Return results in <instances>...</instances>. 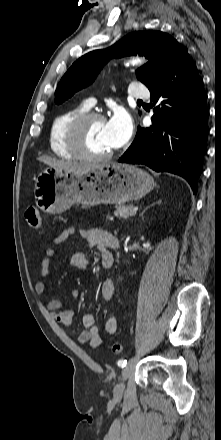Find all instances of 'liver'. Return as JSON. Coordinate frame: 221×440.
Returning <instances> with one entry per match:
<instances>
[{
  "instance_id": "obj_1",
  "label": "liver",
  "mask_w": 221,
  "mask_h": 440,
  "mask_svg": "<svg viewBox=\"0 0 221 440\" xmlns=\"http://www.w3.org/2000/svg\"><path fill=\"white\" fill-rule=\"evenodd\" d=\"M38 160L44 162L45 164L49 165L51 168H54L56 170L66 171L76 174L84 173L86 171H89L90 169H95L103 165L98 163H77L70 161H62V160L52 159L47 156L39 157Z\"/></svg>"
}]
</instances>
